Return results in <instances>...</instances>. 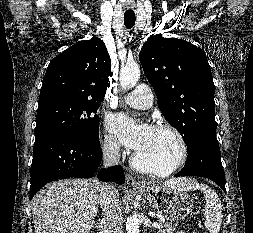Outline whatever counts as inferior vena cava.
<instances>
[{
  "mask_svg": "<svg viewBox=\"0 0 253 233\" xmlns=\"http://www.w3.org/2000/svg\"><path fill=\"white\" fill-rule=\"evenodd\" d=\"M120 160V146L115 141L103 147V164L117 165ZM100 205L103 220L99 225L100 233H123V218L118 191L112 185L103 184L100 192Z\"/></svg>",
  "mask_w": 253,
  "mask_h": 233,
  "instance_id": "602c4592",
  "label": "inferior vena cava"
}]
</instances>
